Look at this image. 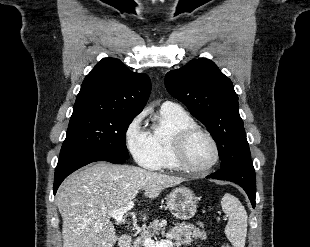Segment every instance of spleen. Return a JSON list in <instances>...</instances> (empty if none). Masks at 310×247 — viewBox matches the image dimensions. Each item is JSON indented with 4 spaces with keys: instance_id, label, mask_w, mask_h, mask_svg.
<instances>
[{
    "instance_id": "3e777b00",
    "label": "spleen",
    "mask_w": 310,
    "mask_h": 247,
    "mask_svg": "<svg viewBox=\"0 0 310 247\" xmlns=\"http://www.w3.org/2000/svg\"><path fill=\"white\" fill-rule=\"evenodd\" d=\"M223 212L229 220L225 227V234L234 247H245L247 234V212L241 202L227 193L221 200Z\"/></svg>"
}]
</instances>
